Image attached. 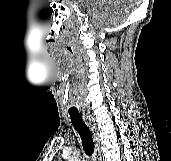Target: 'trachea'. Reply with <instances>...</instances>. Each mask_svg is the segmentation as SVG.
Segmentation results:
<instances>
[{
	"instance_id": "obj_1",
	"label": "trachea",
	"mask_w": 171,
	"mask_h": 161,
	"mask_svg": "<svg viewBox=\"0 0 171 161\" xmlns=\"http://www.w3.org/2000/svg\"><path fill=\"white\" fill-rule=\"evenodd\" d=\"M69 115L74 129L80 135L83 149L89 156H91L94 152V143L89 128L79 112H70Z\"/></svg>"
}]
</instances>
